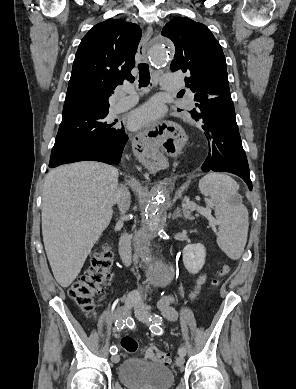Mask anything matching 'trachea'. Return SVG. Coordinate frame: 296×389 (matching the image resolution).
I'll return each instance as SVG.
<instances>
[{"label":"trachea","mask_w":296,"mask_h":389,"mask_svg":"<svg viewBox=\"0 0 296 389\" xmlns=\"http://www.w3.org/2000/svg\"><path fill=\"white\" fill-rule=\"evenodd\" d=\"M139 69V87H146L150 84V72L149 65L146 63H140Z\"/></svg>","instance_id":"obj_1"}]
</instances>
